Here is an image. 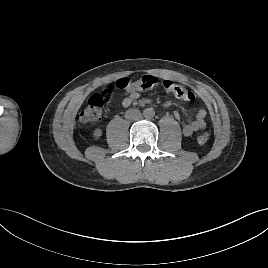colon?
<instances>
[{"mask_svg": "<svg viewBox=\"0 0 268 268\" xmlns=\"http://www.w3.org/2000/svg\"><path fill=\"white\" fill-rule=\"evenodd\" d=\"M158 84V79L152 75H143L133 78H121L116 82V88L120 90L130 91L132 89L149 90ZM162 87L165 92L173 94L179 99L191 101L194 99V93L186 87L179 85L171 80H164ZM110 90H106L102 94L92 95L87 102L86 107L80 113V121L82 123L94 124L101 119L102 109L108 102ZM209 140V134L204 132L197 136L199 144H205Z\"/></svg>", "mask_w": 268, "mask_h": 268, "instance_id": "5ec220e1", "label": "colon"}]
</instances>
